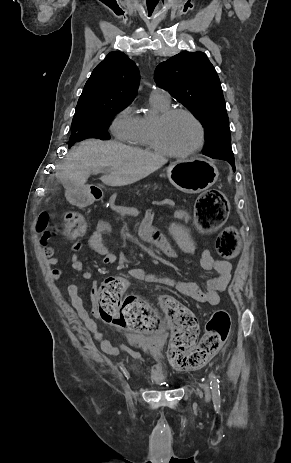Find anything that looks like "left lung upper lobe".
<instances>
[{"mask_svg": "<svg viewBox=\"0 0 291 463\" xmlns=\"http://www.w3.org/2000/svg\"><path fill=\"white\" fill-rule=\"evenodd\" d=\"M154 78L200 120L206 132L202 153L214 159L234 158L221 83L206 54L180 52L160 63Z\"/></svg>", "mask_w": 291, "mask_h": 463, "instance_id": "obj_1", "label": "left lung upper lobe"}]
</instances>
